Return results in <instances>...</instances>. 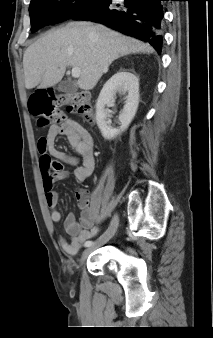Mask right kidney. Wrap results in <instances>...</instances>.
<instances>
[{
  "label": "right kidney",
  "mask_w": 213,
  "mask_h": 338,
  "mask_svg": "<svg viewBox=\"0 0 213 338\" xmlns=\"http://www.w3.org/2000/svg\"><path fill=\"white\" fill-rule=\"evenodd\" d=\"M116 93L126 94V101L119 115L121 127L119 129L108 126L106 121L109 114L105 112V105L115 101ZM139 104V79L125 70L114 74L103 86L96 103L97 125L105 139H114L125 131L133 120Z\"/></svg>",
  "instance_id": "right-kidney-1"
}]
</instances>
